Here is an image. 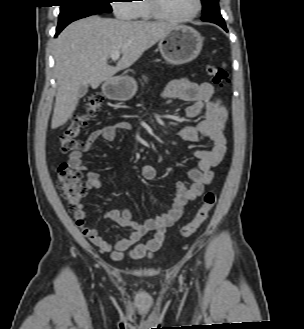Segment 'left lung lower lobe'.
<instances>
[{
  "label": "left lung lower lobe",
  "instance_id": "left-lung-lower-lobe-1",
  "mask_svg": "<svg viewBox=\"0 0 304 329\" xmlns=\"http://www.w3.org/2000/svg\"><path fill=\"white\" fill-rule=\"evenodd\" d=\"M202 21L215 23L220 27H222L225 31H228L224 19L220 14V9L218 4L211 6L208 10L203 12Z\"/></svg>",
  "mask_w": 304,
  "mask_h": 329
}]
</instances>
